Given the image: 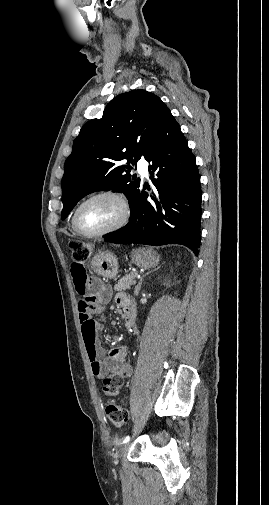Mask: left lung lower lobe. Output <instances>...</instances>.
<instances>
[{
	"label": "left lung lower lobe",
	"mask_w": 269,
	"mask_h": 505,
	"mask_svg": "<svg viewBox=\"0 0 269 505\" xmlns=\"http://www.w3.org/2000/svg\"><path fill=\"white\" fill-rule=\"evenodd\" d=\"M145 159L154 185L141 187L129 223L105 241L118 244H181L200 247L201 186L196 160L179 124L167 113L149 142Z\"/></svg>",
	"instance_id": "0a47b994"
}]
</instances>
